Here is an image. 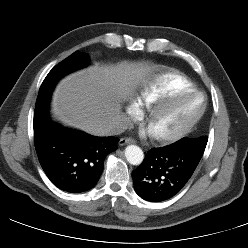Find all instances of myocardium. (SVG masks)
<instances>
[{
	"label": "myocardium",
	"instance_id": "obj_1",
	"mask_svg": "<svg viewBox=\"0 0 248 248\" xmlns=\"http://www.w3.org/2000/svg\"><path fill=\"white\" fill-rule=\"evenodd\" d=\"M194 94H199L203 98V106L201 110L196 115H194L186 124L181 126L176 131L162 135H155V138L159 142L162 143L176 142L182 139L183 137H185L187 134H189L192 131V129L199 123V121L202 119L203 115L206 112L207 104H208L207 97L205 93L200 90L188 89L163 97L162 99H160L150 107L148 114L146 116V124L148 126L153 121V119H155L157 116L168 110L175 102H177L181 98Z\"/></svg>",
	"mask_w": 248,
	"mask_h": 248
}]
</instances>
